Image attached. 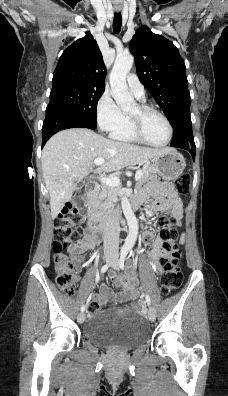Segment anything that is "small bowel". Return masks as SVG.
<instances>
[{"label":"small bowel","mask_w":228,"mask_h":396,"mask_svg":"<svg viewBox=\"0 0 228 396\" xmlns=\"http://www.w3.org/2000/svg\"><path fill=\"white\" fill-rule=\"evenodd\" d=\"M143 189L144 191H148L153 194L157 202V207L166 208L169 206L172 208V213L175 219L174 227H178L181 225V219L183 215L182 203L178 193L174 191L170 184L161 183L159 180H155L150 187H144ZM133 204H138L139 206L143 205V198H133ZM143 235L146 242H153V247L148 252V257L150 258L154 269L160 271L159 260L164 255L163 241L161 240V238L156 237L150 230H145ZM97 243V233L91 228L87 229L84 232L82 239L79 240L77 243L72 244L68 249V253L71 256L73 263L76 266H80L82 263V254L88 250L94 249ZM179 243H183V237L180 238ZM109 277L114 285L120 289V291L118 293H114L105 284H101L99 288V293L94 295V298L100 304L104 305L111 301H135L138 298L139 293L135 288L137 279L134 274H129L125 277H121L115 273H110ZM134 307L143 310V301H139L137 304H134Z\"/></svg>","instance_id":"obj_1"}]
</instances>
